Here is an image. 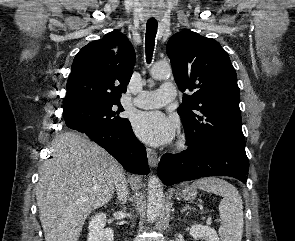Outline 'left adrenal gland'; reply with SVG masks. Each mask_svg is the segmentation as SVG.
Returning <instances> with one entry per match:
<instances>
[{"mask_svg": "<svg viewBox=\"0 0 295 241\" xmlns=\"http://www.w3.org/2000/svg\"><path fill=\"white\" fill-rule=\"evenodd\" d=\"M186 210H191V207L188 204L185 205L181 212H185Z\"/></svg>", "mask_w": 295, "mask_h": 241, "instance_id": "a2214340", "label": "left adrenal gland"}]
</instances>
